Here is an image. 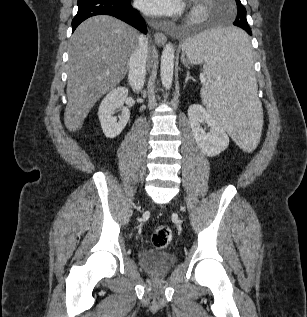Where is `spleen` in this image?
<instances>
[{"instance_id":"spleen-1","label":"spleen","mask_w":307,"mask_h":317,"mask_svg":"<svg viewBox=\"0 0 307 317\" xmlns=\"http://www.w3.org/2000/svg\"><path fill=\"white\" fill-rule=\"evenodd\" d=\"M183 51L191 63H204L207 84L201 88V98L208 112L240 150L252 155V148H261L255 136L261 129L262 108L246 29L210 26L187 40Z\"/></svg>"}]
</instances>
